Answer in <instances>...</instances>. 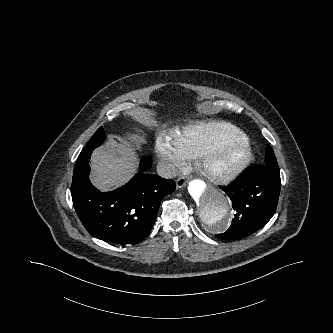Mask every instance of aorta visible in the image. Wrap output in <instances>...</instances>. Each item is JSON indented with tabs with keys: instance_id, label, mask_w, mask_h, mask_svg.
Listing matches in <instances>:
<instances>
[{
	"instance_id": "aorta-1",
	"label": "aorta",
	"mask_w": 333,
	"mask_h": 333,
	"mask_svg": "<svg viewBox=\"0 0 333 333\" xmlns=\"http://www.w3.org/2000/svg\"><path fill=\"white\" fill-rule=\"evenodd\" d=\"M189 196L196 217L219 230L230 214L226 196L218 188L199 181L189 183Z\"/></svg>"
}]
</instances>
